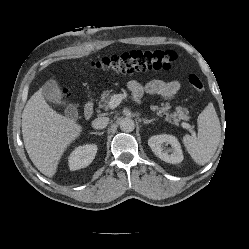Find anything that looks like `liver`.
Here are the masks:
<instances>
[{
    "mask_svg": "<svg viewBox=\"0 0 249 249\" xmlns=\"http://www.w3.org/2000/svg\"><path fill=\"white\" fill-rule=\"evenodd\" d=\"M81 132L80 124L47 104L42 88L27 101L22 113L24 145L31 161L44 175L54 176L64 151Z\"/></svg>",
    "mask_w": 249,
    "mask_h": 249,
    "instance_id": "6515ba94",
    "label": "liver"
}]
</instances>
